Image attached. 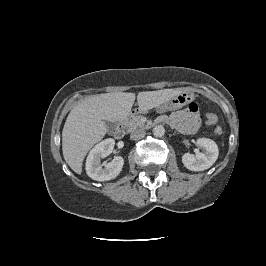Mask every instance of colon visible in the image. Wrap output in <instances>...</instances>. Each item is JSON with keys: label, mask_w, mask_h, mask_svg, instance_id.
I'll list each match as a JSON object with an SVG mask.
<instances>
[{"label": "colon", "mask_w": 266, "mask_h": 266, "mask_svg": "<svg viewBox=\"0 0 266 266\" xmlns=\"http://www.w3.org/2000/svg\"><path fill=\"white\" fill-rule=\"evenodd\" d=\"M217 120H218L217 116L215 114H213V113H208L206 115V123L209 124V125L216 124L217 123ZM214 131H215V133L217 135H220L223 132V130H222V128L220 126H216L215 129H214Z\"/></svg>", "instance_id": "1"}]
</instances>
